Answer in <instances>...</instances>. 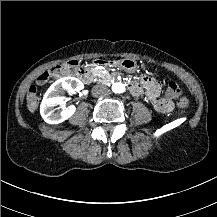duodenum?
I'll list each match as a JSON object with an SVG mask.
<instances>
[{"label": "duodenum", "instance_id": "410a0bca", "mask_svg": "<svg viewBox=\"0 0 217 217\" xmlns=\"http://www.w3.org/2000/svg\"><path fill=\"white\" fill-rule=\"evenodd\" d=\"M116 66L115 61L99 59L93 63L86 65L81 68V78L84 82L90 83L93 80V72L96 67H114ZM128 88L132 94L140 91V86L137 82L131 81L128 84Z\"/></svg>", "mask_w": 217, "mask_h": 217}]
</instances>
